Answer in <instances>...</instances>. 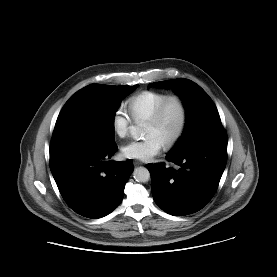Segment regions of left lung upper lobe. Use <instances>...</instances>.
I'll return each mask as SVG.
<instances>
[{
	"label": "left lung upper lobe",
	"mask_w": 277,
	"mask_h": 277,
	"mask_svg": "<svg viewBox=\"0 0 277 277\" xmlns=\"http://www.w3.org/2000/svg\"><path fill=\"white\" fill-rule=\"evenodd\" d=\"M150 86L172 88L183 100L186 108V126L183 136L169 153L181 154L200 136L222 131L218 110L207 93L196 83L188 79H176L150 83Z\"/></svg>",
	"instance_id": "1"
}]
</instances>
